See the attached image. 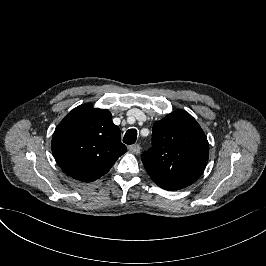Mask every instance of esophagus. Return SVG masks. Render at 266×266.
<instances>
[{
	"label": "esophagus",
	"instance_id": "obj_1",
	"mask_svg": "<svg viewBox=\"0 0 266 266\" xmlns=\"http://www.w3.org/2000/svg\"><path fill=\"white\" fill-rule=\"evenodd\" d=\"M129 150L132 153L138 154V153H140V146L138 144L131 145V146H129Z\"/></svg>",
	"mask_w": 266,
	"mask_h": 266
}]
</instances>
